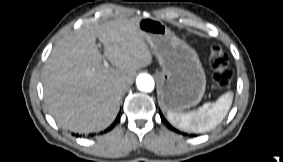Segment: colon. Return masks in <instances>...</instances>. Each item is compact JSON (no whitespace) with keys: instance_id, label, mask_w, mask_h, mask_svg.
Masks as SVG:
<instances>
[{"instance_id":"1","label":"colon","mask_w":283,"mask_h":162,"mask_svg":"<svg viewBox=\"0 0 283 162\" xmlns=\"http://www.w3.org/2000/svg\"><path fill=\"white\" fill-rule=\"evenodd\" d=\"M210 62L214 68L213 79L220 89L229 86L233 73L228 68V56L220 45H213L210 50Z\"/></svg>"}]
</instances>
